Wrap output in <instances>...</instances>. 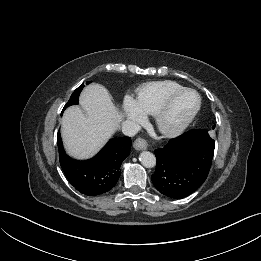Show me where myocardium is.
<instances>
[{
    "instance_id": "myocardium-1",
    "label": "myocardium",
    "mask_w": 261,
    "mask_h": 261,
    "mask_svg": "<svg viewBox=\"0 0 261 261\" xmlns=\"http://www.w3.org/2000/svg\"><path fill=\"white\" fill-rule=\"evenodd\" d=\"M186 92H192L197 96V105L195 109L180 123L173 126L165 125L164 120L171 105L180 95ZM201 104H202V99L200 94L192 88H182L178 91L173 92L165 99V101L162 103V105L154 114V121L157 129L160 131V133H162L165 136H175L182 133L197 116L201 108Z\"/></svg>"
}]
</instances>
